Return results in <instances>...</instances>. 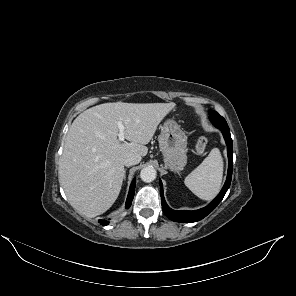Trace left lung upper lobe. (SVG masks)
Listing matches in <instances>:
<instances>
[{"mask_svg":"<svg viewBox=\"0 0 296 296\" xmlns=\"http://www.w3.org/2000/svg\"><path fill=\"white\" fill-rule=\"evenodd\" d=\"M210 119L213 124H227L225 119L220 116L216 111H211Z\"/></svg>","mask_w":296,"mask_h":296,"instance_id":"1","label":"left lung upper lobe"}]
</instances>
